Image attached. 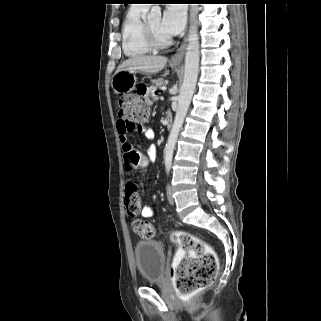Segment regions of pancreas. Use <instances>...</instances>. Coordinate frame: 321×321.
<instances>
[{
	"instance_id": "1",
	"label": "pancreas",
	"mask_w": 321,
	"mask_h": 321,
	"mask_svg": "<svg viewBox=\"0 0 321 321\" xmlns=\"http://www.w3.org/2000/svg\"><path fill=\"white\" fill-rule=\"evenodd\" d=\"M164 83H165V81L163 78L155 79V80H153L154 86H152V89H156L157 87L160 88Z\"/></svg>"
}]
</instances>
